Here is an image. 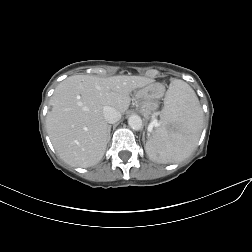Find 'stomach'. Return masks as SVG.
I'll return each instance as SVG.
<instances>
[{
	"label": "stomach",
	"mask_w": 252,
	"mask_h": 252,
	"mask_svg": "<svg viewBox=\"0 0 252 252\" xmlns=\"http://www.w3.org/2000/svg\"><path fill=\"white\" fill-rule=\"evenodd\" d=\"M164 92L165 87L160 83H150L136 92V102L138 103L140 113L144 117L149 118L157 110ZM167 129L170 131L174 130L171 125H168Z\"/></svg>",
	"instance_id": "0dacf381"
}]
</instances>
